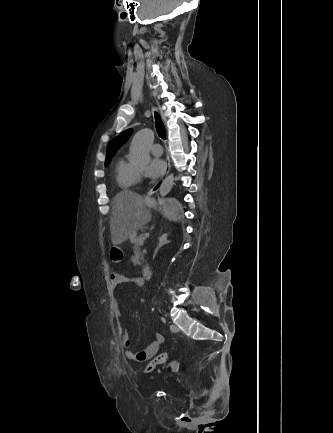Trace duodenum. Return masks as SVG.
<instances>
[{
	"mask_svg": "<svg viewBox=\"0 0 333 433\" xmlns=\"http://www.w3.org/2000/svg\"><path fill=\"white\" fill-rule=\"evenodd\" d=\"M131 241L132 242H135L136 241V238L135 237H132L131 238ZM141 273H142V277L145 279V280H150L151 278H152V268H151V266L150 265H144L143 267H142V269H141Z\"/></svg>",
	"mask_w": 333,
	"mask_h": 433,
	"instance_id": "duodenum-1",
	"label": "duodenum"
}]
</instances>
